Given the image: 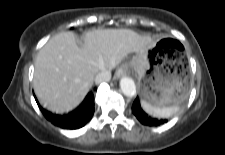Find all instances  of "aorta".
I'll return each instance as SVG.
<instances>
[{"instance_id": "obj_1", "label": "aorta", "mask_w": 225, "mask_h": 155, "mask_svg": "<svg viewBox=\"0 0 225 155\" xmlns=\"http://www.w3.org/2000/svg\"><path fill=\"white\" fill-rule=\"evenodd\" d=\"M120 88L125 96H133L136 92L134 81L129 77H123L120 80Z\"/></svg>"}]
</instances>
